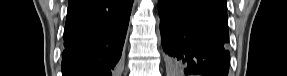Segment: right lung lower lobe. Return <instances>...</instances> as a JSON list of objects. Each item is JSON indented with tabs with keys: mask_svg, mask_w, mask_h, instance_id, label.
<instances>
[{
	"mask_svg": "<svg viewBox=\"0 0 287 76\" xmlns=\"http://www.w3.org/2000/svg\"><path fill=\"white\" fill-rule=\"evenodd\" d=\"M133 0H69L63 76H113L121 58Z\"/></svg>",
	"mask_w": 287,
	"mask_h": 76,
	"instance_id": "obj_1",
	"label": "right lung lower lobe"
}]
</instances>
